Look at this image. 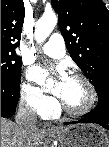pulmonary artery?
Listing matches in <instances>:
<instances>
[{
  "label": "pulmonary artery",
  "instance_id": "pulmonary-artery-1",
  "mask_svg": "<svg viewBox=\"0 0 109 147\" xmlns=\"http://www.w3.org/2000/svg\"><path fill=\"white\" fill-rule=\"evenodd\" d=\"M41 52L54 59L64 57L66 54V47L62 35L58 33L52 34L47 43L42 47Z\"/></svg>",
  "mask_w": 109,
  "mask_h": 147
}]
</instances>
